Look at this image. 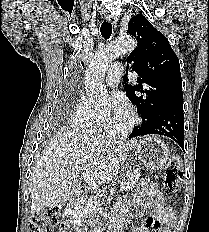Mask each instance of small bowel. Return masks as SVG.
<instances>
[{
    "mask_svg": "<svg viewBox=\"0 0 209 232\" xmlns=\"http://www.w3.org/2000/svg\"><path fill=\"white\" fill-rule=\"evenodd\" d=\"M145 207L148 216L143 220L141 226L134 232H170L166 227L160 225H173L176 216L168 207L162 193L155 182L143 179L135 193L134 200L129 203L131 208ZM116 222L119 224L125 219L124 208H119L115 214ZM61 232H65L63 229Z\"/></svg>",
    "mask_w": 209,
    "mask_h": 232,
    "instance_id": "c3829d8e",
    "label": "small bowel"
}]
</instances>
